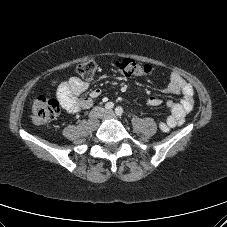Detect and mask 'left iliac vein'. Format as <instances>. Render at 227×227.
<instances>
[{"label": "left iliac vein", "mask_w": 227, "mask_h": 227, "mask_svg": "<svg viewBox=\"0 0 227 227\" xmlns=\"http://www.w3.org/2000/svg\"><path fill=\"white\" fill-rule=\"evenodd\" d=\"M106 117L107 118H116V115L114 114L113 111H107L106 112Z\"/></svg>", "instance_id": "1"}]
</instances>
